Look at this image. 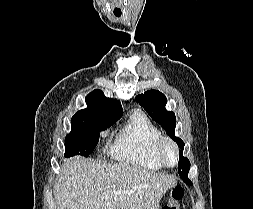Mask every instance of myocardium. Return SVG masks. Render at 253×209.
Listing matches in <instances>:
<instances>
[{
  "instance_id": "obj_1",
  "label": "myocardium",
  "mask_w": 253,
  "mask_h": 209,
  "mask_svg": "<svg viewBox=\"0 0 253 209\" xmlns=\"http://www.w3.org/2000/svg\"><path fill=\"white\" fill-rule=\"evenodd\" d=\"M166 146H171L175 152V163L170 164L165 158V148ZM154 153L155 156L159 159V161L162 163L163 166L168 168H173L178 165L179 163V157H180V151L179 147L176 144V142L170 138L169 136L162 135L156 142V145L154 147Z\"/></svg>"
}]
</instances>
